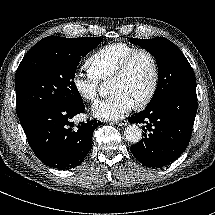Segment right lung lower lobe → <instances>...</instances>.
Instances as JSON below:
<instances>
[{
    "mask_svg": "<svg viewBox=\"0 0 215 215\" xmlns=\"http://www.w3.org/2000/svg\"><path fill=\"white\" fill-rule=\"evenodd\" d=\"M84 104L50 102L19 115L28 143L47 166L70 169L80 165L92 148V135L100 121L79 122L73 130L74 116L84 111Z\"/></svg>",
    "mask_w": 215,
    "mask_h": 215,
    "instance_id": "right-lung-lower-lobe-1",
    "label": "right lung lower lobe"
}]
</instances>
